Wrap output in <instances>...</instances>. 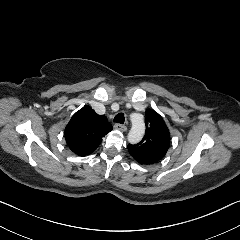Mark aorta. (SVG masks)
<instances>
[{"label": "aorta", "mask_w": 240, "mask_h": 240, "mask_svg": "<svg viewBox=\"0 0 240 240\" xmlns=\"http://www.w3.org/2000/svg\"><path fill=\"white\" fill-rule=\"evenodd\" d=\"M145 126L142 120L137 119V115L132 117V127L129 132V140L133 143H137L144 135Z\"/></svg>", "instance_id": "aorta-1"}]
</instances>
